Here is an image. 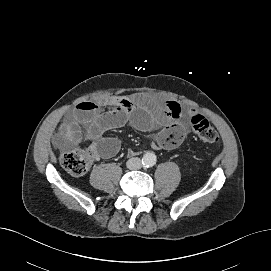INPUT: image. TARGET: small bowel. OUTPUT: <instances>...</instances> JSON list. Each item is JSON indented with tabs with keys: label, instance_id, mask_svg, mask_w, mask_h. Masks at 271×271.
Masks as SVG:
<instances>
[{
	"label": "small bowel",
	"instance_id": "obj_1",
	"mask_svg": "<svg viewBox=\"0 0 271 271\" xmlns=\"http://www.w3.org/2000/svg\"><path fill=\"white\" fill-rule=\"evenodd\" d=\"M105 107H109V110L105 111ZM193 111L182 109L175 101H159L141 92L84 101L77 104L62 122L54 142L62 149L89 143L95 160L110 158L118 153L120 142L116 138L105 137V133L131 122L140 130L160 127L156 146L172 149L179 146L188 134L181 117Z\"/></svg>",
	"mask_w": 271,
	"mask_h": 271
}]
</instances>
